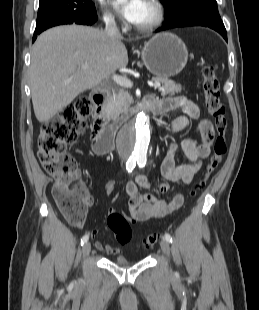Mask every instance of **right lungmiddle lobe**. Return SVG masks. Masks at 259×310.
Segmentation results:
<instances>
[{"mask_svg":"<svg viewBox=\"0 0 259 310\" xmlns=\"http://www.w3.org/2000/svg\"><path fill=\"white\" fill-rule=\"evenodd\" d=\"M95 12L89 0H39L36 29L54 19L82 20Z\"/></svg>","mask_w":259,"mask_h":310,"instance_id":"right-lung-middle-lobe-1","label":"right lung middle lobe"}]
</instances>
